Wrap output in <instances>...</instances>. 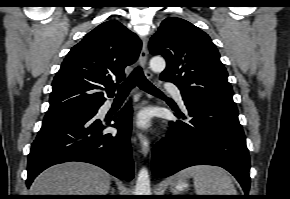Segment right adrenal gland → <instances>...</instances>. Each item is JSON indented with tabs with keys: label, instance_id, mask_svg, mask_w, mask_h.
<instances>
[{
	"label": "right adrenal gland",
	"instance_id": "1",
	"mask_svg": "<svg viewBox=\"0 0 290 199\" xmlns=\"http://www.w3.org/2000/svg\"><path fill=\"white\" fill-rule=\"evenodd\" d=\"M111 195H114V188H111Z\"/></svg>",
	"mask_w": 290,
	"mask_h": 199
}]
</instances>
